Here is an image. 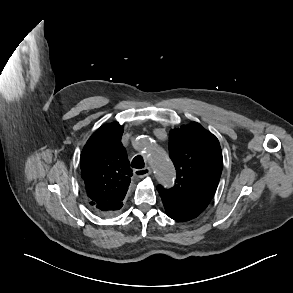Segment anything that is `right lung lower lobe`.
<instances>
[{"label":"right lung lower lobe","mask_w":293,"mask_h":293,"mask_svg":"<svg viewBox=\"0 0 293 293\" xmlns=\"http://www.w3.org/2000/svg\"><path fill=\"white\" fill-rule=\"evenodd\" d=\"M102 215H109V214H104V213H101Z\"/></svg>","instance_id":"obj_1"}]
</instances>
